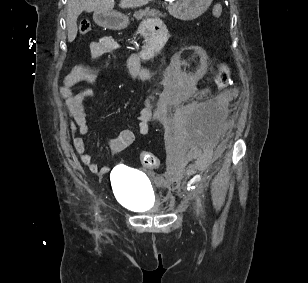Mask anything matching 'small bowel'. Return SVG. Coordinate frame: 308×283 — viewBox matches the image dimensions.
Segmentation results:
<instances>
[{
	"label": "small bowel",
	"instance_id": "1",
	"mask_svg": "<svg viewBox=\"0 0 308 283\" xmlns=\"http://www.w3.org/2000/svg\"><path fill=\"white\" fill-rule=\"evenodd\" d=\"M158 31L165 30L163 24L158 19H148L144 21L140 27V33L146 40V47L154 34ZM119 49V44L112 37H102L97 41H93L89 45V51L92 57L100 58L104 55L116 54ZM142 54L135 53L125 58L124 72L132 78L141 81H149L152 79V74L143 67ZM98 75L95 70L86 66H78L73 68L63 79V84L60 87L61 94L65 97L68 110L72 116L70 129L73 135L80 133L86 135L89 131L84 102L94 95L91 89H80L76 93L71 92V88L81 83L96 85ZM183 92H168L162 95L155 109L152 107L143 108L137 115V130L141 135H147L149 132V124L153 117L159 120H165L169 116L170 111L183 103L186 99ZM135 139V134L130 129H124L119 134L107 141L109 148L113 152H120L130 146ZM73 146L80 156L81 161L89 168L92 173L106 174L110 171L109 166L98 167L92 160L88 152L87 146L82 136H74Z\"/></svg>",
	"mask_w": 308,
	"mask_h": 283
}]
</instances>
